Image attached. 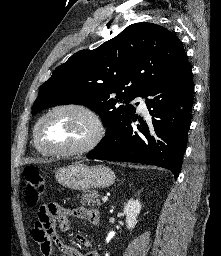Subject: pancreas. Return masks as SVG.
<instances>
[{
  "instance_id": "pancreas-1",
  "label": "pancreas",
  "mask_w": 221,
  "mask_h": 256,
  "mask_svg": "<svg viewBox=\"0 0 221 256\" xmlns=\"http://www.w3.org/2000/svg\"><path fill=\"white\" fill-rule=\"evenodd\" d=\"M82 203L90 207L100 206V195L97 191L85 192L82 196Z\"/></svg>"
}]
</instances>
